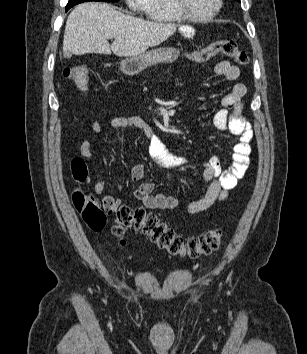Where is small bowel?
Segmentation results:
<instances>
[{"label": "small bowel", "instance_id": "1", "mask_svg": "<svg viewBox=\"0 0 307 354\" xmlns=\"http://www.w3.org/2000/svg\"><path fill=\"white\" fill-rule=\"evenodd\" d=\"M182 33V34H181ZM179 35L183 38H194L193 29L182 31ZM217 75L223 76L228 81H236L239 77V68L228 61H222L215 67ZM246 94V87L242 83H235L229 93L221 101V108L213 116V125L221 131H229L238 136L239 140L234 146L233 160L230 168L223 171L220 160L210 157L201 163L202 177L208 185L205 194L188 202L187 212L196 214L211 207L215 202L225 200L229 190L235 188L239 180L245 175L249 165L251 152L250 142L253 138V131L249 122L242 115V98ZM109 126L115 129L139 130L146 137L147 149L152 157L163 167L176 170L182 168L190 161L184 157L170 153L161 137L153 130L151 125L136 116L115 117L110 120ZM105 129L104 123L96 121L92 124V131L99 134ZM80 154L87 159L94 157V152L87 140L80 145ZM145 167L136 165L131 169V180L140 181L145 176ZM105 184L102 179H98L94 184V191L102 194ZM154 185L151 182L141 183L134 191V196L141 201L147 209L171 210L179 206L178 198L168 196L163 193L153 194ZM103 204L107 209L114 210L121 205L119 199L106 196Z\"/></svg>", "mask_w": 307, "mask_h": 354}]
</instances>
